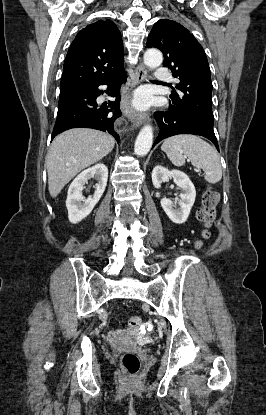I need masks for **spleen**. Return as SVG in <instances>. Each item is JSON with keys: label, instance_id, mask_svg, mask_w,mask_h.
I'll use <instances>...</instances> for the list:
<instances>
[{"label": "spleen", "instance_id": "obj_1", "mask_svg": "<svg viewBox=\"0 0 266 415\" xmlns=\"http://www.w3.org/2000/svg\"><path fill=\"white\" fill-rule=\"evenodd\" d=\"M169 160L177 167L188 158L192 165L204 171V178L214 184L222 178V167L217 151L195 135H177L164 141L161 146Z\"/></svg>", "mask_w": 266, "mask_h": 415}]
</instances>
